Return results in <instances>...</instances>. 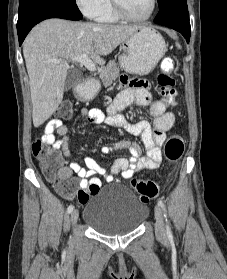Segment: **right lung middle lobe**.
<instances>
[{"label":"right lung middle lobe","mask_w":227,"mask_h":279,"mask_svg":"<svg viewBox=\"0 0 227 279\" xmlns=\"http://www.w3.org/2000/svg\"><path fill=\"white\" fill-rule=\"evenodd\" d=\"M20 1H23V0H20ZM67 1H69L71 3H75V0H67Z\"/></svg>","instance_id":"1"}]
</instances>
